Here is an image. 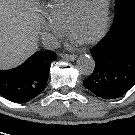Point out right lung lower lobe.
<instances>
[{
    "label": "right lung lower lobe",
    "mask_w": 135,
    "mask_h": 135,
    "mask_svg": "<svg viewBox=\"0 0 135 135\" xmlns=\"http://www.w3.org/2000/svg\"><path fill=\"white\" fill-rule=\"evenodd\" d=\"M56 59L52 51H38L20 66L0 71V95L15 103L37 97L45 89L50 64Z\"/></svg>",
    "instance_id": "1"
}]
</instances>
